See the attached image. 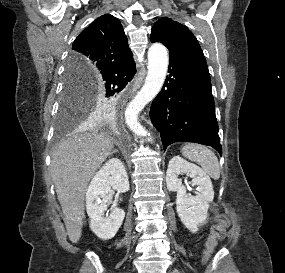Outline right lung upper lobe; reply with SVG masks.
Masks as SVG:
<instances>
[{
	"mask_svg": "<svg viewBox=\"0 0 285 273\" xmlns=\"http://www.w3.org/2000/svg\"><path fill=\"white\" fill-rule=\"evenodd\" d=\"M132 58L120 21L105 14L75 39L67 69L81 78H90L105 68L123 64Z\"/></svg>",
	"mask_w": 285,
	"mask_h": 273,
	"instance_id": "cb5924a9",
	"label": "right lung upper lobe"
}]
</instances>
